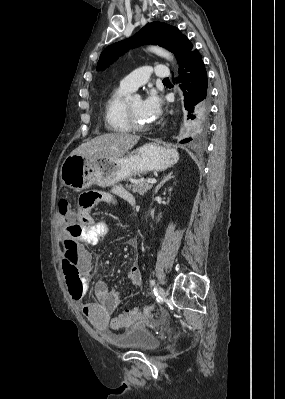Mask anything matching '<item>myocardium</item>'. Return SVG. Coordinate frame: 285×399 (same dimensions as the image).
<instances>
[{"instance_id":"1","label":"myocardium","mask_w":285,"mask_h":399,"mask_svg":"<svg viewBox=\"0 0 285 399\" xmlns=\"http://www.w3.org/2000/svg\"><path fill=\"white\" fill-rule=\"evenodd\" d=\"M125 109H126L127 120H128V123H129L131 129L137 130V131H142V130L148 129L150 127L149 123L141 124L135 119V116L131 110L129 103L126 104Z\"/></svg>"}]
</instances>
